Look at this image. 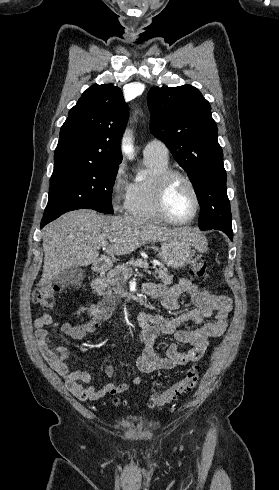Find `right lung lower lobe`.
<instances>
[{"label": "right lung lower lobe", "mask_w": 279, "mask_h": 490, "mask_svg": "<svg viewBox=\"0 0 279 490\" xmlns=\"http://www.w3.org/2000/svg\"><path fill=\"white\" fill-rule=\"evenodd\" d=\"M46 224H47V222H41L40 228H43Z\"/></svg>", "instance_id": "right-lung-lower-lobe-1"}]
</instances>
